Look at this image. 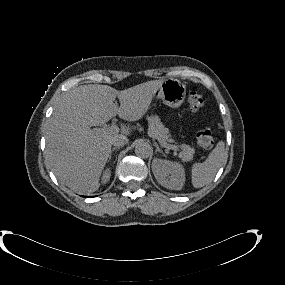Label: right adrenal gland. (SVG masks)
<instances>
[{
  "mask_svg": "<svg viewBox=\"0 0 285 285\" xmlns=\"http://www.w3.org/2000/svg\"><path fill=\"white\" fill-rule=\"evenodd\" d=\"M117 149H120V146H116V147H113L111 152H110V155H109V160L111 159V156H112V152L117 150Z\"/></svg>",
  "mask_w": 285,
  "mask_h": 285,
  "instance_id": "2a0ac1e0",
  "label": "right adrenal gland"
}]
</instances>
